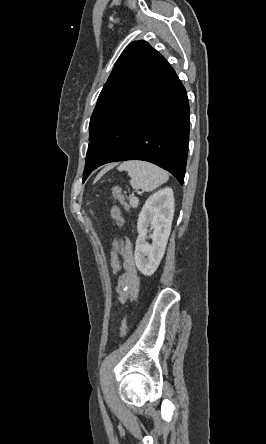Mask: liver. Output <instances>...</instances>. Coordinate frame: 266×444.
<instances>
[{"instance_id": "1", "label": "liver", "mask_w": 266, "mask_h": 444, "mask_svg": "<svg viewBox=\"0 0 266 444\" xmlns=\"http://www.w3.org/2000/svg\"><path fill=\"white\" fill-rule=\"evenodd\" d=\"M114 166V164L113 165H111V166H109V168H111V167H113Z\"/></svg>"}]
</instances>
